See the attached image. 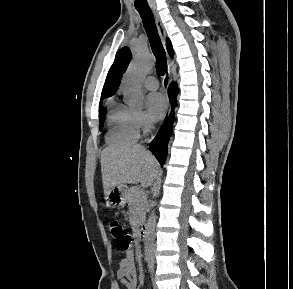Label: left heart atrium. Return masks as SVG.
<instances>
[{"instance_id":"39dd6f15","label":"left heart atrium","mask_w":293,"mask_h":289,"mask_svg":"<svg viewBox=\"0 0 293 289\" xmlns=\"http://www.w3.org/2000/svg\"><path fill=\"white\" fill-rule=\"evenodd\" d=\"M146 106L149 117L154 121L162 119L167 110L166 99L162 94L156 92L148 95Z\"/></svg>"}]
</instances>
